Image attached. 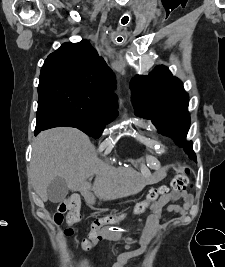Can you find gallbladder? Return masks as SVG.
<instances>
[{
  "instance_id": "1",
  "label": "gallbladder",
  "mask_w": 225,
  "mask_h": 267,
  "mask_svg": "<svg viewBox=\"0 0 225 267\" xmlns=\"http://www.w3.org/2000/svg\"><path fill=\"white\" fill-rule=\"evenodd\" d=\"M68 190L66 180L62 177H55L47 187L48 199L53 203H59L65 198Z\"/></svg>"
}]
</instances>
